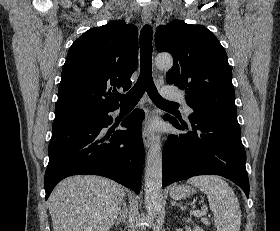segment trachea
Listing matches in <instances>:
<instances>
[{
    "label": "trachea",
    "mask_w": 280,
    "mask_h": 231,
    "mask_svg": "<svg viewBox=\"0 0 280 231\" xmlns=\"http://www.w3.org/2000/svg\"><path fill=\"white\" fill-rule=\"evenodd\" d=\"M140 75L133 86L125 95L115 94L114 96L121 102V105L135 106L145 91L158 108L165 110H178V103L168 102L162 98L152 78V28L146 25L140 33Z\"/></svg>",
    "instance_id": "1"
}]
</instances>
